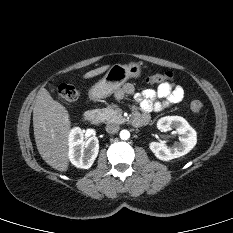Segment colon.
Returning a JSON list of instances; mask_svg holds the SVG:
<instances>
[{"instance_id":"5ec220e1","label":"colon","mask_w":233,"mask_h":233,"mask_svg":"<svg viewBox=\"0 0 233 233\" xmlns=\"http://www.w3.org/2000/svg\"><path fill=\"white\" fill-rule=\"evenodd\" d=\"M174 80V74L172 72H154L149 75L146 79L149 84H170ZM53 91H55L58 95H60L63 99L67 101H75L79 97L78 90L71 84H59L53 86ZM203 107V104L200 100H193L190 104L191 111L195 114L199 113Z\"/></svg>"}]
</instances>
